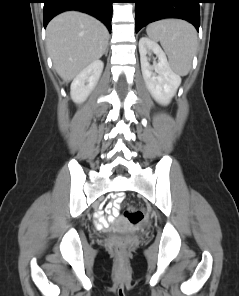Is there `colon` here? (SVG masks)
Wrapping results in <instances>:
<instances>
[{
  "label": "colon",
  "mask_w": 239,
  "mask_h": 296,
  "mask_svg": "<svg viewBox=\"0 0 239 296\" xmlns=\"http://www.w3.org/2000/svg\"><path fill=\"white\" fill-rule=\"evenodd\" d=\"M120 201L123 199V196H119ZM124 216L132 225L139 224L144 219V211L140 208L134 206H127L124 209ZM112 249L115 253L123 255L127 252V247L125 242L117 241L112 245Z\"/></svg>",
  "instance_id": "1"
}]
</instances>
